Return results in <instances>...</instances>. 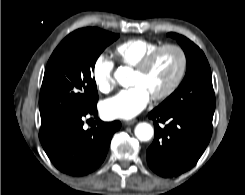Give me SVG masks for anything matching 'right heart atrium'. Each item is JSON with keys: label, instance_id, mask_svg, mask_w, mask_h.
<instances>
[{"label": "right heart atrium", "instance_id": "1", "mask_svg": "<svg viewBox=\"0 0 245 195\" xmlns=\"http://www.w3.org/2000/svg\"><path fill=\"white\" fill-rule=\"evenodd\" d=\"M114 63L105 55H99L91 69V77L97 90L107 94L115 87L113 79Z\"/></svg>", "mask_w": 245, "mask_h": 195}]
</instances>
